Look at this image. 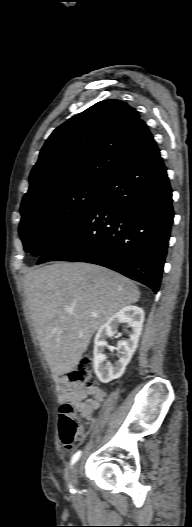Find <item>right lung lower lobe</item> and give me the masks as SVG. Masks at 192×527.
I'll list each match as a JSON object with an SVG mask.
<instances>
[{
    "label": "right lung lower lobe",
    "mask_w": 192,
    "mask_h": 527,
    "mask_svg": "<svg viewBox=\"0 0 192 527\" xmlns=\"http://www.w3.org/2000/svg\"><path fill=\"white\" fill-rule=\"evenodd\" d=\"M172 190L153 140L104 186L87 214L37 264L80 261L159 290L173 223Z\"/></svg>",
    "instance_id": "98d812e1"
}]
</instances>
